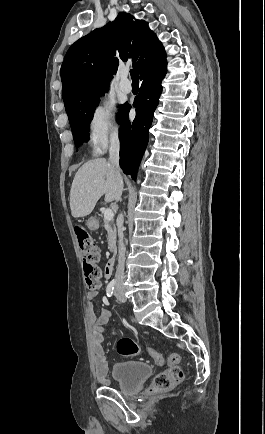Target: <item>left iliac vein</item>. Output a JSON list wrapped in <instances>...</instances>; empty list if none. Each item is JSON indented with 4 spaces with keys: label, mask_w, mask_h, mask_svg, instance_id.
Instances as JSON below:
<instances>
[{
    "label": "left iliac vein",
    "mask_w": 265,
    "mask_h": 434,
    "mask_svg": "<svg viewBox=\"0 0 265 434\" xmlns=\"http://www.w3.org/2000/svg\"><path fill=\"white\" fill-rule=\"evenodd\" d=\"M115 295H116L117 300H119L120 302L126 301V297H125L124 291L122 290L121 286H118L116 288Z\"/></svg>",
    "instance_id": "1"
}]
</instances>
